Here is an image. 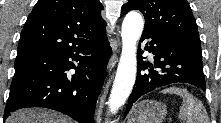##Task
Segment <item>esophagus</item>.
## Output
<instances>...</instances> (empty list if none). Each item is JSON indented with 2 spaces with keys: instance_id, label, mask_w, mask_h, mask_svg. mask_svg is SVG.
Masks as SVG:
<instances>
[{
  "instance_id": "obj_1",
  "label": "esophagus",
  "mask_w": 221,
  "mask_h": 123,
  "mask_svg": "<svg viewBox=\"0 0 221 123\" xmlns=\"http://www.w3.org/2000/svg\"><path fill=\"white\" fill-rule=\"evenodd\" d=\"M116 61H117V57L116 55H113L108 63V70L110 71L114 65L116 64Z\"/></svg>"
}]
</instances>
